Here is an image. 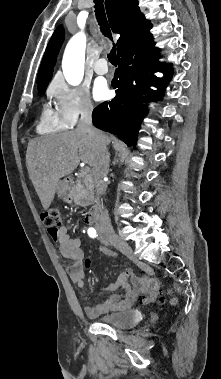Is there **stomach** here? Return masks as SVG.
Masks as SVG:
<instances>
[{
    "mask_svg": "<svg viewBox=\"0 0 221 379\" xmlns=\"http://www.w3.org/2000/svg\"><path fill=\"white\" fill-rule=\"evenodd\" d=\"M57 194L60 198L68 200L70 198V186L67 180H62L57 186Z\"/></svg>",
    "mask_w": 221,
    "mask_h": 379,
    "instance_id": "0dacf381",
    "label": "stomach"
}]
</instances>
